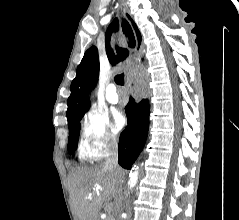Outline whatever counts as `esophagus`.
Returning <instances> with one entry per match:
<instances>
[{
    "label": "esophagus",
    "mask_w": 239,
    "mask_h": 220,
    "mask_svg": "<svg viewBox=\"0 0 239 220\" xmlns=\"http://www.w3.org/2000/svg\"><path fill=\"white\" fill-rule=\"evenodd\" d=\"M122 33L124 36V42L130 47V61L126 67V72L129 74V87L131 92H140V83L138 79V71H136L137 62L136 59V36H133L134 30L132 26H129L128 22L124 19L121 25ZM133 102H140V93H133Z\"/></svg>",
    "instance_id": "esophagus-1"
}]
</instances>
